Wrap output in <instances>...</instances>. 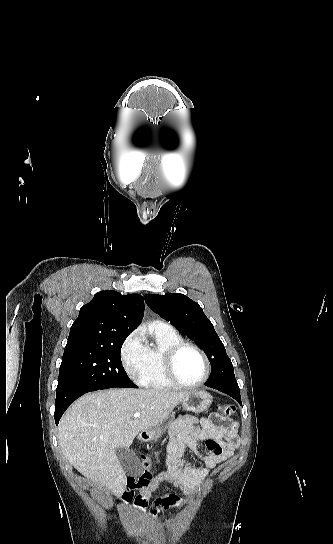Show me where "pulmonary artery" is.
<instances>
[{
    "instance_id": "obj_1",
    "label": "pulmonary artery",
    "mask_w": 333,
    "mask_h": 544,
    "mask_svg": "<svg viewBox=\"0 0 333 544\" xmlns=\"http://www.w3.org/2000/svg\"><path fill=\"white\" fill-rule=\"evenodd\" d=\"M156 325L163 326V327H170L169 325L162 322H157Z\"/></svg>"
}]
</instances>
